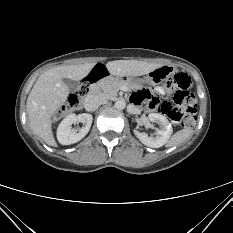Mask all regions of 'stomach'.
<instances>
[{
  "label": "stomach",
  "mask_w": 233,
  "mask_h": 233,
  "mask_svg": "<svg viewBox=\"0 0 233 233\" xmlns=\"http://www.w3.org/2000/svg\"><path fill=\"white\" fill-rule=\"evenodd\" d=\"M175 72V69L169 65H162L157 69L149 72L146 76L145 81L149 84H155L159 81H165L170 78ZM122 83L126 84L131 89H137L142 85V82L139 79L122 76Z\"/></svg>",
  "instance_id": "stomach-1"
}]
</instances>
